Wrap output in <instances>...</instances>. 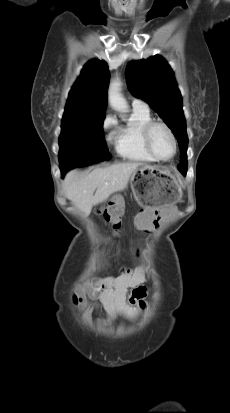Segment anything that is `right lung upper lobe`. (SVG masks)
Instances as JSON below:
<instances>
[{
  "label": "right lung upper lobe",
  "instance_id": "right-lung-upper-lobe-1",
  "mask_svg": "<svg viewBox=\"0 0 230 413\" xmlns=\"http://www.w3.org/2000/svg\"><path fill=\"white\" fill-rule=\"evenodd\" d=\"M108 82L107 63L97 59L89 61L69 92L62 123L105 117Z\"/></svg>",
  "mask_w": 230,
  "mask_h": 413
}]
</instances>
